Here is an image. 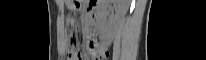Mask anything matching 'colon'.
<instances>
[{
	"label": "colon",
	"instance_id": "5ec220e1",
	"mask_svg": "<svg viewBox=\"0 0 206 60\" xmlns=\"http://www.w3.org/2000/svg\"><path fill=\"white\" fill-rule=\"evenodd\" d=\"M67 31H68V42L67 51L69 59L73 60L77 58L79 52V46L81 42L80 32L77 23L73 19L67 21ZM105 53H99L96 56V60H103L105 58Z\"/></svg>",
	"mask_w": 206,
	"mask_h": 60
}]
</instances>
